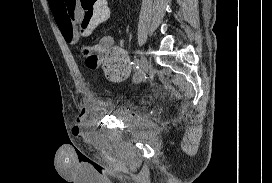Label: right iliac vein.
I'll return each instance as SVG.
<instances>
[{
  "mask_svg": "<svg viewBox=\"0 0 272 183\" xmlns=\"http://www.w3.org/2000/svg\"><path fill=\"white\" fill-rule=\"evenodd\" d=\"M147 66H148V61H147L146 57L144 55H142V57H141V63H140V68H141L142 71H141L140 76H138L135 79L136 82H140L143 79V77H144V75H145V73L147 71Z\"/></svg>",
  "mask_w": 272,
  "mask_h": 183,
  "instance_id": "obj_1",
  "label": "right iliac vein"
}]
</instances>
